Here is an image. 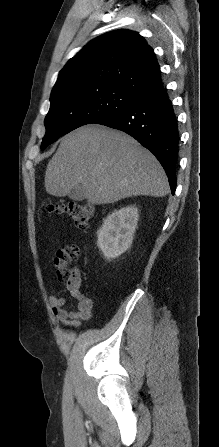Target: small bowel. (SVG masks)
<instances>
[{"instance_id": "obj_1", "label": "small bowel", "mask_w": 219, "mask_h": 447, "mask_svg": "<svg viewBox=\"0 0 219 447\" xmlns=\"http://www.w3.org/2000/svg\"><path fill=\"white\" fill-rule=\"evenodd\" d=\"M81 278L76 284L67 283V289L71 296L77 300V310L68 311L64 308V299L59 296L50 297V305L56 319L66 326H78L82 321L91 317L93 302L85 296L81 290Z\"/></svg>"}]
</instances>
